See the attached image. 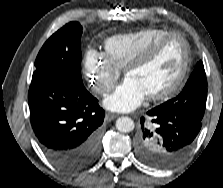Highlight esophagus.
<instances>
[{
	"mask_svg": "<svg viewBox=\"0 0 223 188\" xmlns=\"http://www.w3.org/2000/svg\"><path fill=\"white\" fill-rule=\"evenodd\" d=\"M117 117H118L117 114L108 112V113H106V115H105V120H106V121H111V120H113V119H115V118H117Z\"/></svg>",
	"mask_w": 223,
	"mask_h": 188,
	"instance_id": "34e87169",
	"label": "esophagus"
}]
</instances>
